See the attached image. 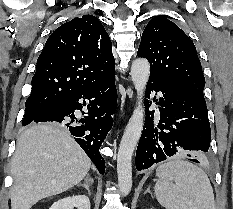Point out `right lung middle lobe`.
Returning a JSON list of instances; mask_svg holds the SVG:
<instances>
[{"label": "right lung middle lobe", "mask_w": 233, "mask_h": 209, "mask_svg": "<svg viewBox=\"0 0 233 209\" xmlns=\"http://www.w3.org/2000/svg\"><path fill=\"white\" fill-rule=\"evenodd\" d=\"M53 103H32L25 105V114L22 121V125H28L30 124L39 114H41L43 111H45L49 106H51Z\"/></svg>", "instance_id": "1"}]
</instances>
